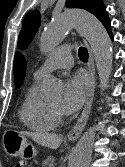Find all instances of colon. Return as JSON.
I'll list each match as a JSON object with an SVG mask.
<instances>
[{
	"mask_svg": "<svg viewBox=\"0 0 125 167\" xmlns=\"http://www.w3.org/2000/svg\"><path fill=\"white\" fill-rule=\"evenodd\" d=\"M13 167H25V163L19 162V163H16Z\"/></svg>",
	"mask_w": 125,
	"mask_h": 167,
	"instance_id": "1",
	"label": "colon"
}]
</instances>
